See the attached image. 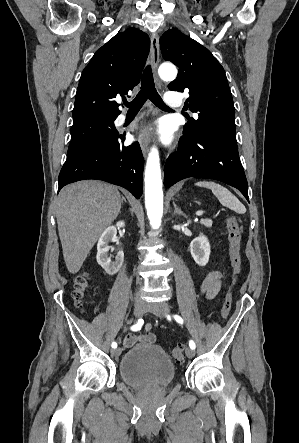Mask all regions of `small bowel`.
<instances>
[{
	"label": "small bowel",
	"instance_id": "1",
	"mask_svg": "<svg viewBox=\"0 0 299 443\" xmlns=\"http://www.w3.org/2000/svg\"><path fill=\"white\" fill-rule=\"evenodd\" d=\"M222 284V275L218 271H210L203 275L201 281V292L208 300L215 299ZM153 326L146 324L144 332L139 334H126L123 338V346L132 347L136 343H155L156 335L152 332Z\"/></svg>",
	"mask_w": 299,
	"mask_h": 443
}]
</instances>
